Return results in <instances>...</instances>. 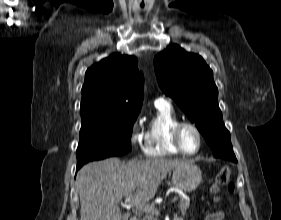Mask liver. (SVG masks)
<instances>
[{
    "instance_id": "obj_1",
    "label": "liver",
    "mask_w": 281,
    "mask_h": 220,
    "mask_svg": "<svg viewBox=\"0 0 281 220\" xmlns=\"http://www.w3.org/2000/svg\"><path fill=\"white\" fill-rule=\"evenodd\" d=\"M189 164L191 160L163 158L123 163L114 157L84 165L76 180L80 220H123V197L135 193V200L147 202L170 171Z\"/></svg>"
}]
</instances>
